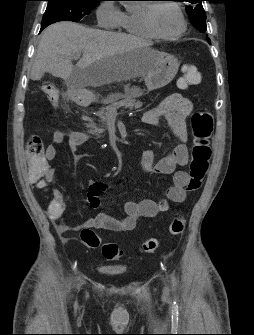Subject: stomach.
<instances>
[{
  "label": "stomach",
  "mask_w": 254,
  "mask_h": 335,
  "mask_svg": "<svg viewBox=\"0 0 254 335\" xmlns=\"http://www.w3.org/2000/svg\"><path fill=\"white\" fill-rule=\"evenodd\" d=\"M150 52L153 54L155 61L144 78L148 91L168 85L174 79L180 65L178 59L173 55L153 49H150ZM126 93H130L132 97L142 95V91L138 88L127 90ZM72 96L77 100L83 98L86 101H91L93 99L90 93L81 90L73 91Z\"/></svg>",
  "instance_id": "1"
}]
</instances>
